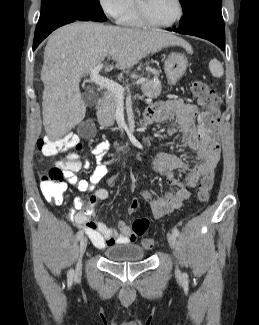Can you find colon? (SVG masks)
I'll use <instances>...</instances> for the list:
<instances>
[{
  "instance_id": "obj_1",
  "label": "colon",
  "mask_w": 259,
  "mask_h": 325,
  "mask_svg": "<svg viewBox=\"0 0 259 325\" xmlns=\"http://www.w3.org/2000/svg\"><path fill=\"white\" fill-rule=\"evenodd\" d=\"M190 92L200 105L206 108L208 116L204 119L206 129H219L220 123L217 122V100L214 90L202 81H193L190 83ZM37 148L46 155H54L59 151L68 149L79 150L81 143L79 138L74 134H66L58 140L39 139ZM213 174L203 177L198 192V199L201 203H206L210 197V190L213 184ZM66 189L64 170L60 166L51 168L40 178V190L44 198L54 203H60L63 193ZM137 201H133L128 208L132 212L138 208ZM149 222L145 218H138L132 224V230L138 236H142L147 231ZM142 245L146 249H152L156 246V240L145 238Z\"/></svg>"
}]
</instances>
